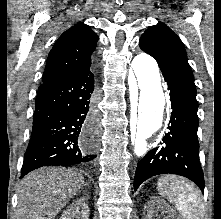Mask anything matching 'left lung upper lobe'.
Instances as JSON below:
<instances>
[{
    "label": "left lung upper lobe",
    "mask_w": 221,
    "mask_h": 219,
    "mask_svg": "<svg viewBox=\"0 0 221 219\" xmlns=\"http://www.w3.org/2000/svg\"><path fill=\"white\" fill-rule=\"evenodd\" d=\"M139 46L154 57L160 67L175 71L194 83L183 43L169 27L163 23L150 26L142 34Z\"/></svg>",
    "instance_id": "obj_1"
}]
</instances>
